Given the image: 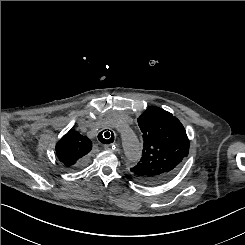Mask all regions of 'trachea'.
<instances>
[{
    "label": "trachea",
    "instance_id": "3493384b",
    "mask_svg": "<svg viewBox=\"0 0 245 245\" xmlns=\"http://www.w3.org/2000/svg\"><path fill=\"white\" fill-rule=\"evenodd\" d=\"M98 140L104 144H110L114 141V134L112 131L104 130L98 134Z\"/></svg>",
    "mask_w": 245,
    "mask_h": 245
}]
</instances>
